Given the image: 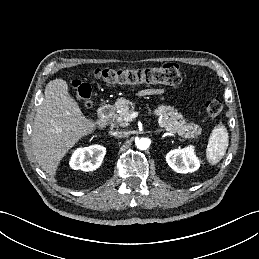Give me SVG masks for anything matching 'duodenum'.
<instances>
[{"label": "duodenum", "instance_id": "410a0bca", "mask_svg": "<svg viewBox=\"0 0 259 259\" xmlns=\"http://www.w3.org/2000/svg\"><path fill=\"white\" fill-rule=\"evenodd\" d=\"M112 117V107L111 105H103L99 109V124L104 126L108 123Z\"/></svg>", "mask_w": 259, "mask_h": 259}]
</instances>
